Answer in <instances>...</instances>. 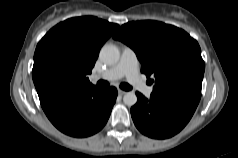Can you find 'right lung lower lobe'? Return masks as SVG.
Here are the masks:
<instances>
[{
	"label": "right lung lower lobe",
	"instance_id": "98d812e1",
	"mask_svg": "<svg viewBox=\"0 0 238 158\" xmlns=\"http://www.w3.org/2000/svg\"><path fill=\"white\" fill-rule=\"evenodd\" d=\"M37 89L41 106L61 132L73 137H87L106 124L116 101L117 89H99L45 84Z\"/></svg>",
	"mask_w": 238,
	"mask_h": 158
}]
</instances>
